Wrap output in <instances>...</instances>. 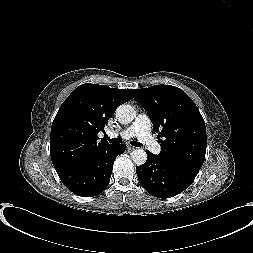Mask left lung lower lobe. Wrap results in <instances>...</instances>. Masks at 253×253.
Listing matches in <instances>:
<instances>
[{"label":"left lung lower lobe","mask_w":253,"mask_h":253,"mask_svg":"<svg viewBox=\"0 0 253 253\" xmlns=\"http://www.w3.org/2000/svg\"><path fill=\"white\" fill-rule=\"evenodd\" d=\"M147 161L136 167L142 187L158 198H169L186 190L197 173L175 165L147 151Z\"/></svg>","instance_id":"obj_1"}]
</instances>
